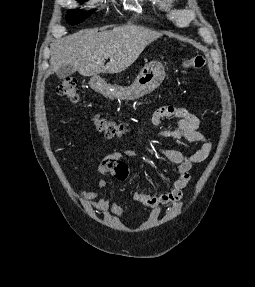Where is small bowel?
<instances>
[{"label":"small bowel","mask_w":255,"mask_h":287,"mask_svg":"<svg viewBox=\"0 0 255 287\" xmlns=\"http://www.w3.org/2000/svg\"><path fill=\"white\" fill-rule=\"evenodd\" d=\"M166 118H176L177 126L174 129L162 130L157 137L170 139H186L189 142L200 143V148L191 153L184 154L175 149L158 148L156 152L165 157L177 166L178 177L168 188H159L152 192H136L133 200L143 206L151 208L149 218L156 220L162 209L168 210L174 206L183 195V191L190 181V171L196 163L205 161L211 152L212 145L208 139L200 132V121L197 116L185 108L174 105H166L158 108L152 115L151 123L158 127L162 120ZM134 151L116 152L104 157L98 167L99 175L111 174L119 181L127 179L129 174L128 165L123 161L124 156H135ZM98 183L101 188L106 189L107 184L104 179L99 178ZM80 197L84 201L85 207L90 212L101 213L103 215L121 216L122 207L113 200L103 197L97 192L81 190Z\"/></svg>","instance_id":"1"}]
</instances>
